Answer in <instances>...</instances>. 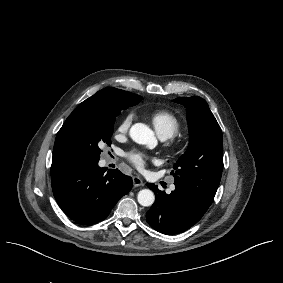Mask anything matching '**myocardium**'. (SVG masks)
<instances>
[{
    "instance_id": "1",
    "label": "myocardium",
    "mask_w": 283,
    "mask_h": 283,
    "mask_svg": "<svg viewBox=\"0 0 283 283\" xmlns=\"http://www.w3.org/2000/svg\"><path fill=\"white\" fill-rule=\"evenodd\" d=\"M186 140L181 136L171 137L165 144L166 152L170 155H178L184 151Z\"/></svg>"
}]
</instances>
